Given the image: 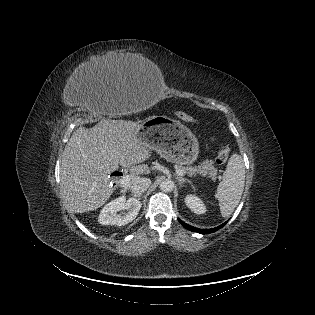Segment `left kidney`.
<instances>
[{
    "label": "left kidney",
    "mask_w": 315,
    "mask_h": 315,
    "mask_svg": "<svg viewBox=\"0 0 315 315\" xmlns=\"http://www.w3.org/2000/svg\"><path fill=\"white\" fill-rule=\"evenodd\" d=\"M185 203L186 205L191 209V211H193L196 214H204L206 213V206L204 205V203L202 202V200L192 194H189L186 196L185 198Z\"/></svg>",
    "instance_id": "obj_1"
}]
</instances>
